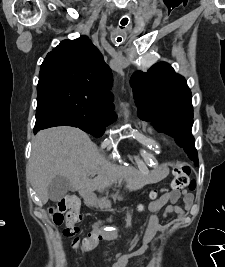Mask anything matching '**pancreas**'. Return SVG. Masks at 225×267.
I'll return each mask as SVG.
<instances>
[{
	"label": "pancreas",
	"instance_id": "pancreas-1",
	"mask_svg": "<svg viewBox=\"0 0 225 267\" xmlns=\"http://www.w3.org/2000/svg\"><path fill=\"white\" fill-rule=\"evenodd\" d=\"M118 199H120V197H118ZM98 205L100 208H110L111 203L106 198H103V199L98 201Z\"/></svg>",
	"mask_w": 225,
	"mask_h": 267
}]
</instances>
